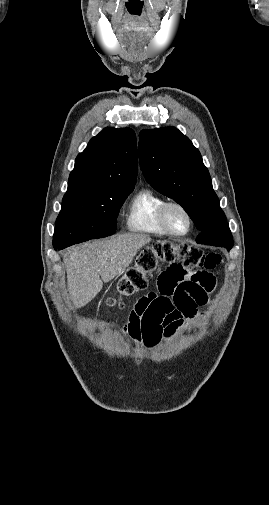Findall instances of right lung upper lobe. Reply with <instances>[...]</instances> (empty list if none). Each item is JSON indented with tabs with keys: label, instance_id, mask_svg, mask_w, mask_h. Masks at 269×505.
Returning <instances> with one entry per match:
<instances>
[{
	"label": "right lung upper lobe",
	"instance_id": "right-lung-upper-lobe-1",
	"mask_svg": "<svg viewBox=\"0 0 269 505\" xmlns=\"http://www.w3.org/2000/svg\"><path fill=\"white\" fill-rule=\"evenodd\" d=\"M137 164L134 131L107 127L77 156L67 191H133Z\"/></svg>",
	"mask_w": 269,
	"mask_h": 505
}]
</instances>
